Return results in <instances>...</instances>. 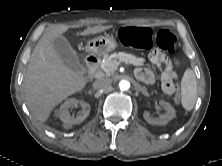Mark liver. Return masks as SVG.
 I'll return each mask as SVG.
<instances>
[{"mask_svg":"<svg viewBox=\"0 0 222 166\" xmlns=\"http://www.w3.org/2000/svg\"><path fill=\"white\" fill-rule=\"evenodd\" d=\"M110 27H87L81 35L100 33ZM67 31L68 26L60 24L45 32L29 59L23 82L25 100L31 114L40 122L47 121L56 105L83 90L88 82L83 71H74L64 64L53 46L54 39Z\"/></svg>","mask_w":222,"mask_h":166,"instance_id":"6515ba94","label":"liver"}]
</instances>
